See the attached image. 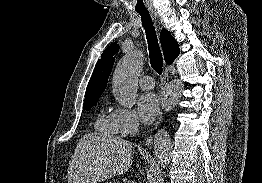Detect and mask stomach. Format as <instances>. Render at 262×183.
I'll return each instance as SVG.
<instances>
[{
    "label": "stomach",
    "instance_id": "stomach-1",
    "mask_svg": "<svg viewBox=\"0 0 262 183\" xmlns=\"http://www.w3.org/2000/svg\"><path fill=\"white\" fill-rule=\"evenodd\" d=\"M106 183H114V182L110 181V182H106Z\"/></svg>",
    "mask_w": 262,
    "mask_h": 183
}]
</instances>
